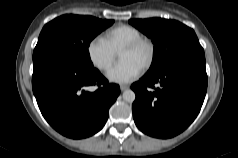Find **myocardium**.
Returning a JSON list of instances; mask_svg holds the SVG:
<instances>
[{
    "label": "myocardium",
    "instance_id": "obj_1",
    "mask_svg": "<svg viewBox=\"0 0 238 158\" xmlns=\"http://www.w3.org/2000/svg\"><path fill=\"white\" fill-rule=\"evenodd\" d=\"M141 45H146L149 49V56L147 61L144 63V65L141 67L142 70H148L155 59V54H156V49H155V45L153 43V41L150 38L147 37H139L131 42H129L128 44H126L119 53L123 52V51H132L137 49L138 47H140Z\"/></svg>",
    "mask_w": 238,
    "mask_h": 158
}]
</instances>
